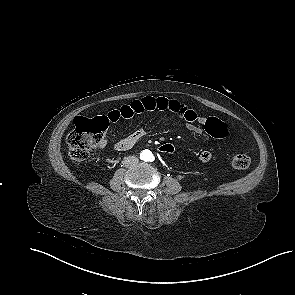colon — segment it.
I'll use <instances>...</instances> for the list:
<instances>
[{
  "label": "colon",
  "mask_w": 295,
  "mask_h": 295,
  "mask_svg": "<svg viewBox=\"0 0 295 295\" xmlns=\"http://www.w3.org/2000/svg\"><path fill=\"white\" fill-rule=\"evenodd\" d=\"M108 122L104 116L92 118L77 117L74 121V129L67 136V144L70 159L74 163H82L87 160L91 149L103 139ZM207 132L217 138H226L233 134L232 126L217 119H210L205 126ZM158 149L162 153L171 155L175 148L168 141H161ZM250 157L247 154H236L232 159V166L236 170H244L250 165Z\"/></svg>",
  "instance_id": "colon-1"
}]
</instances>
